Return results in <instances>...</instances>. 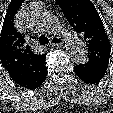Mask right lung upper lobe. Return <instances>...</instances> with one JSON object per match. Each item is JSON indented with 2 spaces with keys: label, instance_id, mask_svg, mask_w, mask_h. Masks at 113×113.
<instances>
[{
  "label": "right lung upper lobe",
  "instance_id": "right-lung-upper-lobe-1",
  "mask_svg": "<svg viewBox=\"0 0 113 113\" xmlns=\"http://www.w3.org/2000/svg\"><path fill=\"white\" fill-rule=\"evenodd\" d=\"M22 2L12 0L8 6L0 36V60L15 83L31 89L47 75L46 54H34L14 27V16Z\"/></svg>",
  "mask_w": 113,
  "mask_h": 113
}]
</instances>
